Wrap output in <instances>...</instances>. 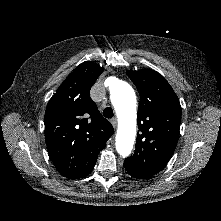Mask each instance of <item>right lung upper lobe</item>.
Segmentation results:
<instances>
[{
    "label": "right lung upper lobe",
    "mask_w": 221,
    "mask_h": 221,
    "mask_svg": "<svg viewBox=\"0 0 221 221\" xmlns=\"http://www.w3.org/2000/svg\"><path fill=\"white\" fill-rule=\"evenodd\" d=\"M102 71L93 62L81 63L59 86L46 107L48 152L56 169L67 178L87 176L114 131L89 95Z\"/></svg>",
    "instance_id": "1"
}]
</instances>
